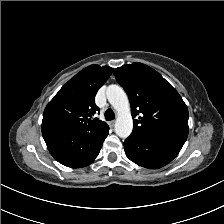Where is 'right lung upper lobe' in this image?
I'll return each instance as SVG.
<instances>
[{
    "mask_svg": "<svg viewBox=\"0 0 224 224\" xmlns=\"http://www.w3.org/2000/svg\"><path fill=\"white\" fill-rule=\"evenodd\" d=\"M109 66L90 65L71 78L53 97L43 113L42 125L54 124L78 132H99L108 125L95 118L99 108L94 99L97 91L110 77Z\"/></svg>",
    "mask_w": 224,
    "mask_h": 224,
    "instance_id": "obj_1",
    "label": "right lung upper lobe"
}]
</instances>
